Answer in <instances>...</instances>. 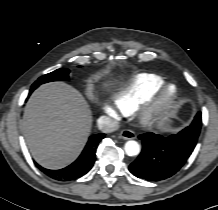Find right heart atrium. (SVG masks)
Returning <instances> with one entry per match:
<instances>
[{"label": "right heart atrium", "instance_id": "1", "mask_svg": "<svg viewBox=\"0 0 218 210\" xmlns=\"http://www.w3.org/2000/svg\"><path fill=\"white\" fill-rule=\"evenodd\" d=\"M103 109L107 114H109L113 117H117V115H118L117 108L113 103L105 102L103 104Z\"/></svg>", "mask_w": 218, "mask_h": 210}]
</instances>
